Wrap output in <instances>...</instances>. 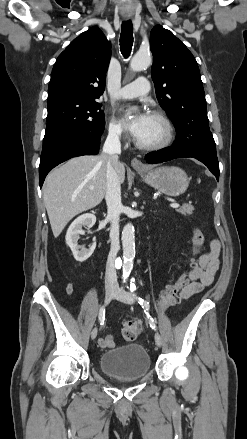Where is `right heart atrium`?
<instances>
[{
	"mask_svg": "<svg viewBox=\"0 0 247 439\" xmlns=\"http://www.w3.org/2000/svg\"><path fill=\"white\" fill-rule=\"evenodd\" d=\"M108 135L113 139H121L124 137V129L120 121L111 118L108 124Z\"/></svg>",
	"mask_w": 247,
	"mask_h": 439,
	"instance_id": "d8ad5b80",
	"label": "right heart atrium"
}]
</instances>
